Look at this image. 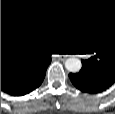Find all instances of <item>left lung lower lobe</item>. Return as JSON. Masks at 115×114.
<instances>
[{
  "label": "left lung lower lobe",
  "mask_w": 115,
  "mask_h": 114,
  "mask_svg": "<svg viewBox=\"0 0 115 114\" xmlns=\"http://www.w3.org/2000/svg\"><path fill=\"white\" fill-rule=\"evenodd\" d=\"M71 82L79 90L87 93H98L110 87L115 78L93 70L81 69L76 74H69Z\"/></svg>",
  "instance_id": "left-lung-lower-lobe-1"
}]
</instances>
